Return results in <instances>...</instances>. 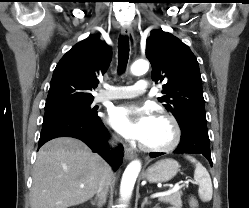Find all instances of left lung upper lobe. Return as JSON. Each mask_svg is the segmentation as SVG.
I'll return each mask as SVG.
<instances>
[{"instance_id":"1","label":"left lung upper lobe","mask_w":249,"mask_h":208,"mask_svg":"<svg viewBox=\"0 0 249 208\" xmlns=\"http://www.w3.org/2000/svg\"><path fill=\"white\" fill-rule=\"evenodd\" d=\"M146 57L152 65L151 78L164 81L158 98L183 125L189 119L206 121L199 65L190 48L168 32L154 30L146 41Z\"/></svg>"}]
</instances>
